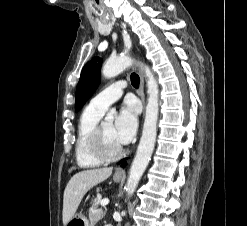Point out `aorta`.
I'll return each mask as SVG.
<instances>
[{
    "instance_id": "aorta-1",
    "label": "aorta",
    "mask_w": 247,
    "mask_h": 226,
    "mask_svg": "<svg viewBox=\"0 0 247 226\" xmlns=\"http://www.w3.org/2000/svg\"><path fill=\"white\" fill-rule=\"evenodd\" d=\"M133 64V60L126 56H121L106 61L102 68V75L105 78H113L119 75L124 69ZM147 78V106L145 112V120L143 125L142 136L137 148L135 158L132 162L129 177L126 183V192L128 196H132L140 178L142 177L151 155L154 150L156 135H157V121L159 113V88L158 83L149 67L141 64ZM114 112H109L106 120L112 121L114 119Z\"/></svg>"
}]
</instances>
